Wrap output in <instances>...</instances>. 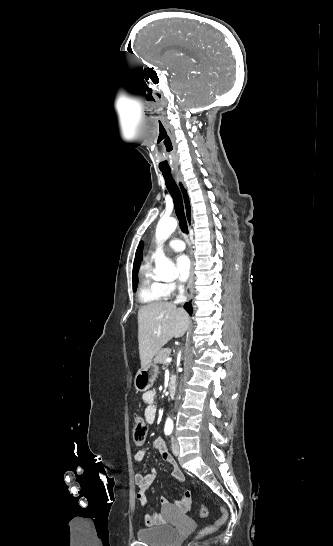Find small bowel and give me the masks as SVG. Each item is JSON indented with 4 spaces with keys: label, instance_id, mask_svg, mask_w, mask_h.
Segmentation results:
<instances>
[{
    "label": "small bowel",
    "instance_id": "c3829d8e",
    "mask_svg": "<svg viewBox=\"0 0 333 546\" xmlns=\"http://www.w3.org/2000/svg\"><path fill=\"white\" fill-rule=\"evenodd\" d=\"M156 395L154 391H147L143 393L142 400L145 403V419L149 424H152L157 416V409L155 405ZM153 447L158 450L164 463L171 467V476L175 485H179L184 481L183 473L176 467L174 458L168 452L166 445L162 438H155L153 441ZM146 457V450H138L135 454V460L141 462ZM155 481V473L152 470L148 474L136 473L134 475V482L137 487L136 498L143 507L147 505L146 491L152 486ZM162 512L160 513H146L144 514V522L148 526H159L166 523V514L174 510L172 505L165 497L161 498ZM176 508L181 512H188L192 506V495L190 491H186L183 496L176 500Z\"/></svg>",
    "mask_w": 333,
    "mask_h": 546
}]
</instances>
